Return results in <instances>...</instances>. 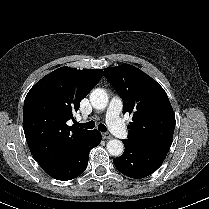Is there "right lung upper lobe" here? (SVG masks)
<instances>
[{
  "label": "right lung upper lobe",
  "instance_id": "right-lung-upper-lobe-1",
  "mask_svg": "<svg viewBox=\"0 0 209 209\" xmlns=\"http://www.w3.org/2000/svg\"><path fill=\"white\" fill-rule=\"evenodd\" d=\"M103 70L59 68L38 81L23 107V129L31 153L47 173L58 169L91 132L68 126L80 102L101 80Z\"/></svg>",
  "mask_w": 209,
  "mask_h": 209
}]
</instances>
